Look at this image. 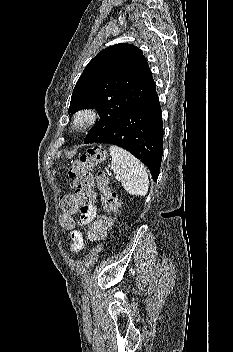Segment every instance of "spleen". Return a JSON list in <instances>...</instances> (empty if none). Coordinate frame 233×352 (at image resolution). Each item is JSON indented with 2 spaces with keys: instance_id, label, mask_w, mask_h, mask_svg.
Here are the masks:
<instances>
[{
  "instance_id": "1",
  "label": "spleen",
  "mask_w": 233,
  "mask_h": 352,
  "mask_svg": "<svg viewBox=\"0 0 233 352\" xmlns=\"http://www.w3.org/2000/svg\"><path fill=\"white\" fill-rule=\"evenodd\" d=\"M109 152L112 157L111 168L120 176L122 187L130 195L145 196L148 193L149 179L144 165L121 147L112 145Z\"/></svg>"
}]
</instances>
